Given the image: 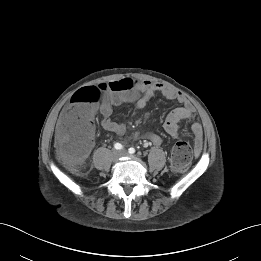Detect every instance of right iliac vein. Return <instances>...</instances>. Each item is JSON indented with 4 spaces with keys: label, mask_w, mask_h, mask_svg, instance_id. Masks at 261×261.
Listing matches in <instances>:
<instances>
[{
    "label": "right iliac vein",
    "mask_w": 261,
    "mask_h": 261,
    "mask_svg": "<svg viewBox=\"0 0 261 261\" xmlns=\"http://www.w3.org/2000/svg\"><path fill=\"white\" fill-rule=\"evenodd\" d=\"M120 152L119 151H116V150H114L112 153H111V159L113 160V161H116V160H118V158L120 157Z\"/></svg>",
    "instance_id": "63e3f726"
}]
</instances>
